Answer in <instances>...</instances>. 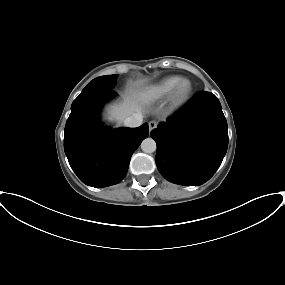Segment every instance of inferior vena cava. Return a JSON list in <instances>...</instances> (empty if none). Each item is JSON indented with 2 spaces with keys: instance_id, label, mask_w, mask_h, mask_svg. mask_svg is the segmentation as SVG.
<instances>
[{
  "instance_id": "1",
  "label": "inferior vena cava",
  "mask_w": 285,
  "mask_h": 285,
  "mask_svg": "<svg viewBox=\"0 0 285 285\" xmlns=\"http://www.w3.org/2000/svg\"><path fill=\"white\" fill-rule=\"evenodd\" d=\"M142 121H143L142 114L135 113L124 120V125L126 127H131V128L139 127L142 124Z\"/></svg>"
}]
</instances>
